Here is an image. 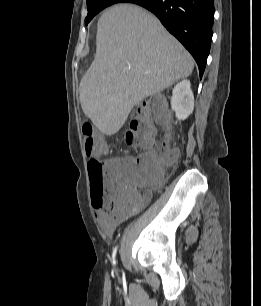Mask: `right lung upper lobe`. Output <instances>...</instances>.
<instances>
[{
  "label": "right lung upper lobe",
  "instance_id": "cb5924a9",
  "mask_svg": "<svg viewBox=\"0 0 261 306\" xmlns=\"http://www.w3.org/2000/svg\"><path fill=\"white\" fill-rule=\"evenodd\" d=\"M132 1H134V0H121V2H132Z\"/></svg>",
  "mask_w": 261,
  "mask_h": 306
}]
</instances>
